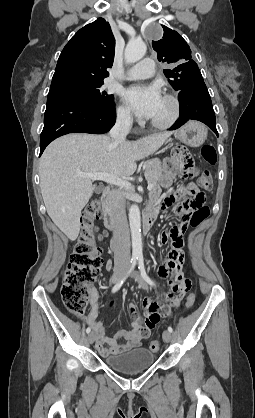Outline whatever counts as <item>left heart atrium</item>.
Returning a JSON list of instances; mask_svg holds the SVG:
<instances>
[{
    "instance_id": "obj_1",
    "label": "left heart atrium",
    "mask_w": 255,
    "mask_h": 418,
    "mask_svg": "<svg viewBox=\"0 0 255 418\" xmlns=\"http://www.w3.org/2000/svg\"><path fill=\"white\" fill-rule=\"evenodd\" d=\"M124 98L138 116L152 118L163 97L155 85H134L124 92Z\"/></svg>"
}]
</instances>
